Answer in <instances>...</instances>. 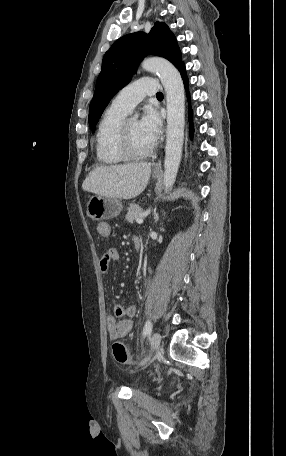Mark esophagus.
I'll return each mask as SVG.
<instances>
[{
  "label": "esophagus",
  "instance_id": "1",
  "mask_svg": "<svg viewBox=\"0 0 286 456\" xmlns=\"http://www.w3.org/2000/svg\"><path fill=\"white\" fill-rule=\"evenodd\" d=\"M153 170H154L155 172H160V171L162 170V160H161V158H159V159L157 160V162L154 164Z\"/></svg>",
  "mask_w": 286,
  "mask_h": 456
}]
</instances>
